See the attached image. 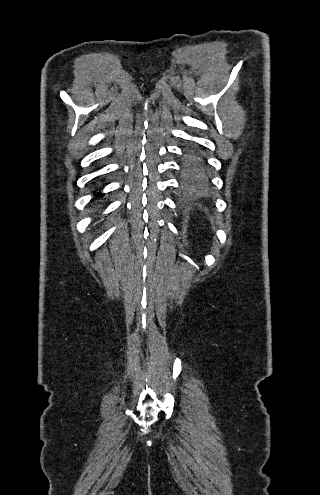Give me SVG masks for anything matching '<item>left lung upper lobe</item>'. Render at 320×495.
I'll use <instances>...</instances> for the list:
<instances>
[{
	"mask_svg": "<svg viewBox=\"0 0 320 495\" xmlns=\"http://www.w3.org/2000/svg\"><path fill=\"white\" fill-rule=\"evenodd\" d=\"M200 166H202V161L198 158V155L193 151H189L184 163V169L187 172H194L199 169Z\"/></svg>",
	"mask_w": 320,
	"mask_h": 495,
	"instance_id": "left-lung-upper-lobe-1",
	"label": "left lung upper lobe"
}]
</instances>
